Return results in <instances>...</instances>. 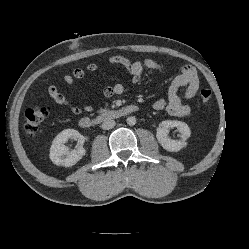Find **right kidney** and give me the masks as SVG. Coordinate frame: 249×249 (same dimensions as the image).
<instances>
[{"mask_svg": "<svg viewBox=\"0 0 249 249\" xmlns=\"http://www.w3.org/2000/svg\"><path fill=\"white\" fill-rule=\"evenodd\" d=\"M78 140L80 146L78 149L69 151L65 143L69 140ZM85 141L84 136H82L77 130L65 129L60 132L52 142L50 148V159L56 165H62L70 167L75 165L82 157L86 154V150L83 148V143Z\"/></svg>", "mask_w": 249, "mask_h": 249, "instance_id": "1", "label": "right kidney"}]
</instances>
